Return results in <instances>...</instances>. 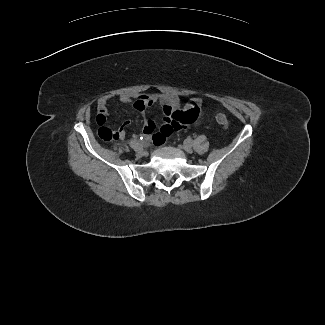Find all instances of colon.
<instances>
[{
    "instance_id": "obj_1",
    "label": "colon",
    "mask_w": 325,
    "mask_h": 325,
    "mask_svg": "<svg viewBox=\"0 0 325 325\" xmlns=\"http://www.w3.org/2000/svg\"><path fill=\"white\" fill-rule=\"evenodd\" d=\"M216 120L220 125H222L224 127H227L229 125V120L222 113H218L216 115ZM98 135H99V137L101 139H103L105 141H110V140L118 139L119 131L117 129H110L108 127H101L98 130Z\"/></svg>"
}]
</instances>
